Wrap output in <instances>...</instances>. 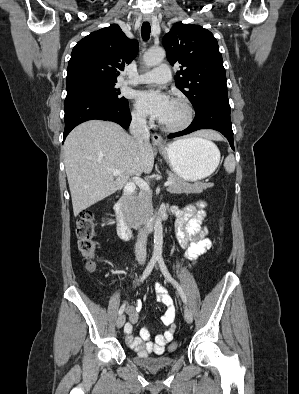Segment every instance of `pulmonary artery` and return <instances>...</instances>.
Listing matches in <instances>:
<instances>
[{
  "instance_id": "obj_1",
  "label": "pulmonary artery",
  "mask_w": 299,
  "mask_h": 394,
  "mask_svg": "<svg viewBox=\"0 0 299 394\" xmlns=\"http://www.w3.org/2000/svg\"><path fill=\"white\" fill-rule=\"evenodd\" d=\"M171 73L167 65L162 64L157 68L139 75L134 82L140 84H164L170 81Z\"/></svg>"
}]
</instances>
